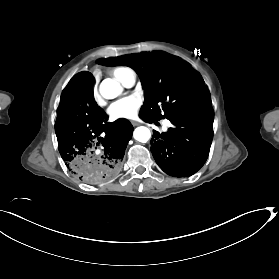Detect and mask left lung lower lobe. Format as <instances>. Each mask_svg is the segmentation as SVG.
<instances>
[{
  "mask_svg": "<svg viewBox=\"0 0 279 279\" xmlns=\"http://www.w3.org/2000/svg\"><path fill=\"white\" fill-rule=\"evenodd\" d=\"M142 117V116H141ZM144 120L153 121L149 117ZM213 110L170 120L168 132L154 131L151 152L158 166L168 175L186 177L206 162L213 138Z\"/></svg>",
  "mask_w": 279,
  "mask_h": 279,
  "instance_id": "obj_1",
  "label": "left lung lower lobe"
}]
</instances>
